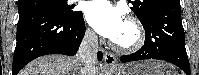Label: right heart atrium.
I'll list each match as a JSON object with an SVG mask.
<instances>
[{"label": "right heart atrium", "mask_w": 199, "mask_h": 75, "mask_svg": "<svg viewBox=\"0 0 199 75\" xmlns=\"http://www.w3.org/2000/svg\"><path fill=\"white\" fill-rule=\"evenodd\" d=\"M85 37L88 41L90 42H94L96 40V34L94 33V31L90 28L86 29L85 32Z\"/></svg>", "instance_id": "obj_1"}]
</instances>
